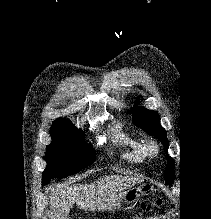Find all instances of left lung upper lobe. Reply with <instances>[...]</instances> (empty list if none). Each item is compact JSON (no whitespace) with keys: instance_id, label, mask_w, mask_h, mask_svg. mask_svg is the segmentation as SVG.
Here are the masks:
<instances>
[{"instance_id":"5c2ea615","label":"left lung upper lobe","mask_w":211,"mask_h":219,"mask_svg":"<svg viewBox=\"0 0 211 219\" xmlns=\"http://www.w3.org/2000/svg\"><path fill=\"white\" fill-rule=\"evenodd\" d=\"M129 113H132L133 123L144 129L148 134L153 135L162 141L165 151L167 152L169 142L167 140L166 131L160 125V118L157 112L146 109L145 107L136 106L133 110L129 111ZM164 177L167 184L173 183L174 160L169 156H167V167L165 169Z\"/></svg>"}]
</instances>
